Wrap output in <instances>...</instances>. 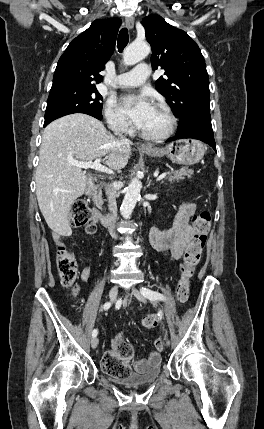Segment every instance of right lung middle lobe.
I'll use <instances>...</instances> for the list:
<instances>
[{
	"mask_svg": "<svg viewBox=\"0 0 264 429\" xmlns=\"http://www.w3.org/2000/svg\"><path fill=\"white\" fill-rule=\"evenodd\" d=\"M103 98L95 86L72 85L50 90L44 124L72 113H85L102 119Z\"/></svg>",
	"mask_w": 264,
	"mask_h": 429,
	"instance_id": "1",
	"label": "right lung middle lobe"
}]
</instances>
